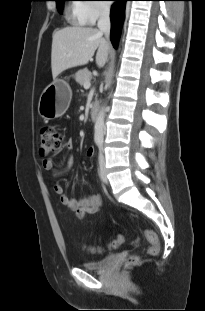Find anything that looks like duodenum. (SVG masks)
Here are the masks:
<instances>
[{
  "label": "duodenum",
  "instance_id": "1",
  "mask_svg": "<svg viewBox=\"0 0 205 311\" xmlns=\"http://www.w3.org/2000/svg\"><path fill=\"white\" fill-rule=\"evenodd\" d=\"M100 105L98 102H93L90 107V117L92 120H96L99 114Z\"/></svg>",
  "mask_w": 205,
  "mask_h": 311
}]
</instances>
